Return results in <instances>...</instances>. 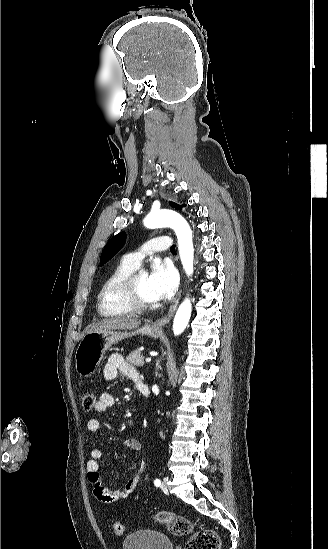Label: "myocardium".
Returning a JSON list of instances; mask_svg holds the SVG:
<instances>
[{"label":"myocardium","mask_w":328,"mask_h":549,"mask_svg":"<svg viewBox=\"0 0 328 549\" xmlns=\"http://www.w3.org/2000/svg\"><path fill=\"white\" fill-rule=\"evenodd\" d=\"M152 264H155V262L140 263L136 270L127 274L119 282L116 287L115 295L121 304L114 306L117 311L130 315H141L154 308L155 301H144L139 298L136 293L138 279L147 272L146 268Z\"/></svg>","instance_id":"1"}]
</instances>
